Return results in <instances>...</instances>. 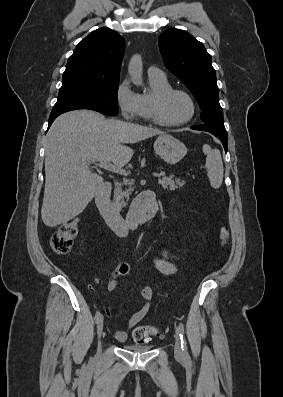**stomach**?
<instances>
[{
  "instance_id": "0dacf381",
  "label": "stomach",
  "mask_w": 283,
  "mask_h": 397,
  "mask_svg": "<svg viewBox=\"0 0 283 397\" xmlns=\"http://www.w3.org/2000/svg\"><path fill=\"white\" fill-rule=\"evenodd\" d=\"M154 150L167 164L171 165L179 162L187 153L185 144L169 134H162L156 139Z\"/></svg>"
}]
</instances>
